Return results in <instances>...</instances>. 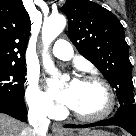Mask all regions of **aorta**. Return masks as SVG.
Instances as JSON below:
<instances>
[{"label": "aorta", "instance_id": "1", "mask_svg": "<svg viewBox=\"0 0 136 136\" xmlns=\"http://www.w3.org/2000/svg\"><path fill=\"white\" fill-rule=\"evenodd\" d=\"M65 26L66 19L63 15H52L44 20L42 27V41L44 45L42 53L43 65L46 71L54 77L58 74V71L48 55V48L51 42L64 30Z\"/></svg>", "mask_w": 136, "mask_h": 136}]
</instances>
